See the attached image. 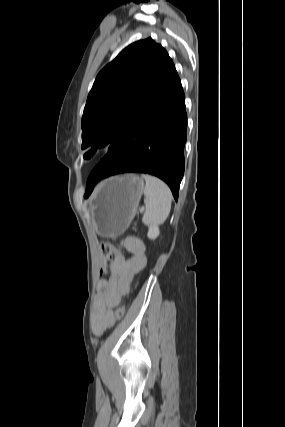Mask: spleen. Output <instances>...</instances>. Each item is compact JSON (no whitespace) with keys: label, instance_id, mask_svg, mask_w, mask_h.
<instances>
[{"label":"spleen","instance_id":"3e777b00","mask_svg":"<svg viewBox=\"0 0 285 427\" xmlns=\"http://www.w3.org/2000/svg\"><path fill=\"white\" fill-rule=\"evenodd\" d=\"M146 211L142 221L146 225L163 223L171 209L172 194L169 187L160 179L143 174Z\"/></svg>","mask_w":285,"mask_h":427}]
</instances>
